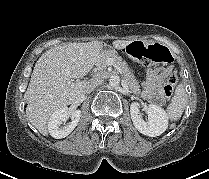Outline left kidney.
<instances>
[{
    "label": "left kidney",
    "mask_w": 209,
    "mask_h": 179,
    "mask_svg": "<svg viewBox=\"0 0 209 179\" xmlns=\"http://www.w3.org/2000/svg\"><path fill=\"white\" fill-rule=\"evenodd\" d=\"M140 104L133 102L130 106V115L135 128L149 137H156L165 132L168 127V117L160 106L150 104L147 108L148 120L142 119L139 110Z\"/></svg>",
    "instance_id": "5707ae66"
}]
</instances>
